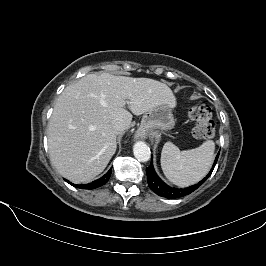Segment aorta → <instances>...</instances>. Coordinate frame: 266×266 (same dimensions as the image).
<instances>
[{"label":"aorta","mask_w":266,"mask_h":266,"mask_svg":"<svg viewBox=\"0 0 266 266\" xmlns=\"http://www.w3.org/2000/svg\"><path fill=\"white\" fill-rule=\"evenodd\" d=\"M135 158L140 162H147L150 159V149L142 141L136 142L133 148Z\"/></svg>","instance_id":"1"}]
</instances>
